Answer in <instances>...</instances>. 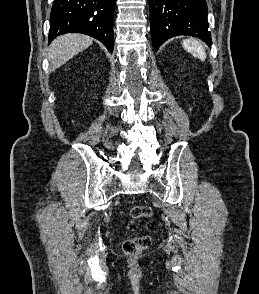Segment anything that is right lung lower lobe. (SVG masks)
Wrapping results in <instances>:
<instances>
[{"label":"right lung lower lobe","mask_w":259,"mask_h":294,"mask_svg":"<svg viewBox=\"0 0 259 294\" xmlns=\"http://www.w3.org/2000/svg\"><path fill=\"white\" fill-rule=\"evenodd\" d=\"M115 0H54L50 15L49 41L76 32L98 39L113 51Z\"/></svg>","instance_id":"right-lung-lower-lobe-1"}]
</instances>
